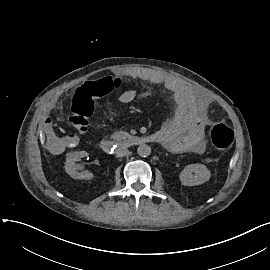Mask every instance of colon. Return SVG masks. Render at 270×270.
I'll use <instances>...</instances> for the list:
<instances>
[{"label":"colon","mask_w":270,"mask_h":270,"mask_svg":"<svg viewBox=\"0 0 270 270\" xmlns=\"http://www.w3.org/2000/svg\"><path fill=\"white\" fill-rule=\"evenodd\" d=\"M119 86L120 82L114 83L113 86L88 82L75 91L71 99L69 121L79 133L87 132L98 98L109 94L112 89H118ZM210 136L213 145L219 150L230 148L234 141L233 130L223 122L212 127Z\"/></svg>","instance_id":"1"}]
</instances>
